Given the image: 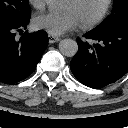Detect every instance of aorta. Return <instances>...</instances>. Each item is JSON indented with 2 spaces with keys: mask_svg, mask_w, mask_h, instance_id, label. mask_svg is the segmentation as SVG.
Segmentation results:
<instances>
[{
  "mask_svg": "<svg viewBox=\"0 0 128 128\" xmlns=\"http://www.w3.org/2000/svg\"><path fill=\"white\" fill-rule=\"evenodd\" d=\"M51 9H60L64 4V0H46ZM60 52L67 57H73L78 51V44L73 39H63L59 43Z\"/></svg>",
  "mask_w": 128,
  "mask_h": 128,
  "instance_id": "obj_1",
  "label": "aorta"
}]
</instances>
